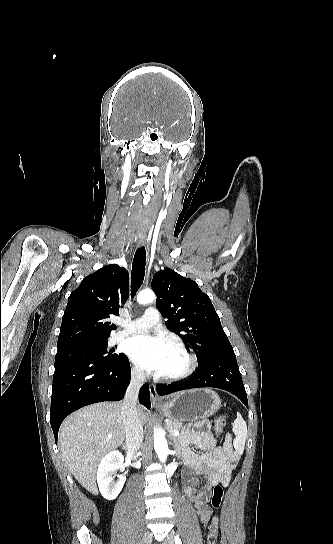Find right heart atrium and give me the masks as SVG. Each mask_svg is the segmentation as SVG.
<instances>
[{"label":"right heart atrium","instance_id":"obj_1","mask_svg":"<svg viewBox=\"0 0 333 544\" xmlns=\"http://www.w3.org/2000/svg\"><path fill=\"white\" fill-rule=\"evenodd\" d=\"M131 370H132L133 375L136 376V377L141 378V377L144 376L143 370L137 365H133Z\"/></svg>","mask_w":333,"mask_h":544}]
</instances>
